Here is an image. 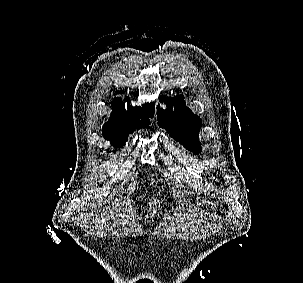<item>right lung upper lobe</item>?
<instances>
[{
  "label": "right lung upper lobe",
  "mask_w": 303,
  "mask_h": 283,
  "mask_svg": "<svg viewBox=\"0 0 303 283\" xmlns=\"http://www.w3.org/2000/svg\"><path fill=\"white\" fill-rule=\"evenodd\" d=\"M128 102V109H125V105L121 98H114L112 101V109L110 120L103 126V133H119L126 134L135 128L144 127L146 123L149 124L148 117H152L154 114V105L145 104L142 108L130 106L129 98H126ZM141 118V121L139 120Z\"/></svg>",
  "instance_id": "right-lung-upper-lobe-1"
}]
</instances>
